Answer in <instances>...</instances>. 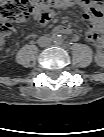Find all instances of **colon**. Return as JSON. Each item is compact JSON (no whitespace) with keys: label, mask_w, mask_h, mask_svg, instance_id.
Masks as SVG:
<instances>
[{"label":"colon","mask_w":104,"mask_h":137,"mask_svg":"<svg viewBox=\"0 0 104 137\" xmlns=\"http://www.w3.org/2000/svg\"><path fill=\"white\" fill-rule=\"evenodd\" d=\"M81 0H5L0 5V35H7L11 31L12 23L30 15H37L41 20H48L51 14L65 6ZM101 6L103 0H94Z\"/></svg>","instance_id":"colon-1"}]
</instances>
